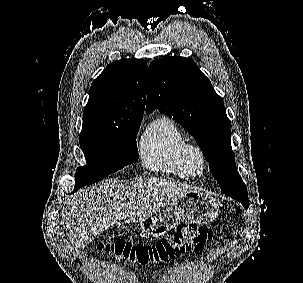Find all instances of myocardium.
<instances>
[{"instance_id": "1", "label": "myocardium", "mask_w": 303, "mask_h": 283, "mask_svg": "<svg viewBox=\"0 0 303 283\" xmlns=\"http://www.w3.org/2000/svg\"><path fill=\"white\" fill-rule=\"evenodd\" d=\"M184 163L192 177L203 175L206 170V157L202 148L194 143H188L184 149Z\"/></svg>"}]
</instances>
